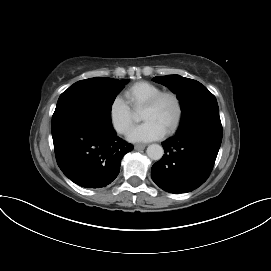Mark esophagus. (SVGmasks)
<instances>
[{
	"instance_id": "34e87169",
	"label": "esophagus",
	"mask_w": 271,
	"mask_h": 271,
	"mask_svg": "<svg viewBox=\"0 0 271 271\" xmlns=\"http://www.w3.org/2000/svg\"><path fill=\"white\" fill-rule=\"evenodd\" d=\"M145 147H146L145 144H136V145L134 146V149H135V150H142V149H144Z\"/></svg>"
}]
</instances>
